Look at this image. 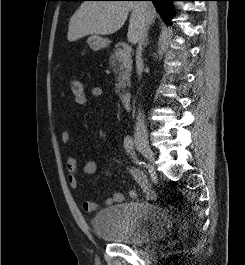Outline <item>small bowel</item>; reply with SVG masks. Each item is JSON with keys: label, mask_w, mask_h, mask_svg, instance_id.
Listing matches in <instances>:
<instances>
[{"label": "small bowel", "mask_w": 245, "mask_h": 265, "mask_svg": "<svg viewBox=\"0 0 245 265\" xmlns=\"http://www.w3.org/2000/svg\"><path fill=\"white\" fill-rule=\"evenodd\" d=\"M90 95L94 98L101 97L103 95V89L98 86H94L90 89ZM60 140L62 143L66 144L70 140V134L67 130H63L60 135ZM82 172L85 175H92L97 170V164L93 160H87L82 164ZM66 170L68 173V183L71 188L77 189L80 186V181L78 177V162L77 160L69 156L66 159ZM129 173L132 176V178L136 181V183L142 188V190L145 193V196L148 199H154L156 198V192L150 188L149 182L143 172H141L139 169L136 168H130ZM129 196L133 199L137 198V191L136 190H130ZM124 201V195L120 192L113 193L110 197L106 198L103 202V206H109L116 203H121ZM100 207L99 204L85 200L82 203V208L87 213H93Z\"/></svg>", "instance_id": "small-bowel-1"}]
</instances>
